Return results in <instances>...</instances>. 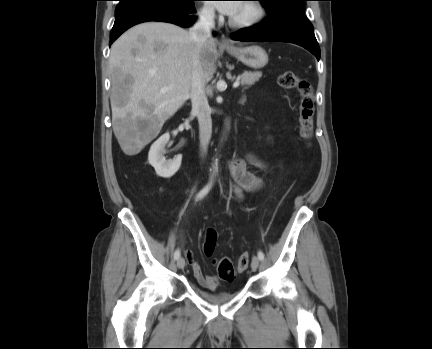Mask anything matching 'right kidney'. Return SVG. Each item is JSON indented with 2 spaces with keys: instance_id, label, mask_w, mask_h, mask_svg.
I'll use <instances>...</instances> for the list:
<instances>
[{
  "instance_id": "right-kidney-1",
  "label": "right kidney",
  "mask_w": 432,
  "mask_h": 349,
  "mask_svg": "<svg viewBox=\"0 0 432 349\" xmlns=\"http://www.w3.org/2000/svg\"><path fill=\"white\" fill-rule=\"evenodd\" d=\"M169 139V133L162 135L152 144L148 153L149 164L154 167L156 174L163 178L172 177L179 170L182 161L181 155H178L173 160L165 159V145Z\"/></svg>"
}]
</instances>
